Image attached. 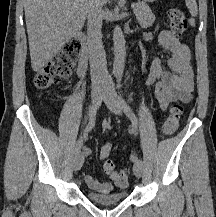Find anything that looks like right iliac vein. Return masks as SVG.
Here are the masks:
<instances>
[{"instance_id":"obj_1","label":"right iliac vein","mask_w":216,"mask_h":217,"mask_svg":"<svg viewBox=\"0 0 216 217\" xmlns=\"http://www.w3.org/2000/svg\"><path fill=\"white\" fill-rule=\"evenodd\" d=\"M104 90L105 88L103 87H97L94 88L91 92L92 104L96 105V107H98L101 103V100L104 95ZM83 163H84V155L82 152H79L74 157V163H73L74 170L75 171L80 170Z\"/></svg>"}]
</instances>
